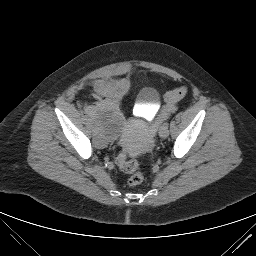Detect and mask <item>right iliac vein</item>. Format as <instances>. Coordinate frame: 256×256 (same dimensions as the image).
<instances>
[{"label":"right iliac vein","instance_id":"right-iliac-vein-1","mask_svg":"<svg viewBox=\"0 0 256 256\" xmlns=\"http://www.w3.org/2000/svg\"><path fill=\"white\" fill-rule=\"evenodd\" d=\"M88 119H89L90 121H94V120H95V116H94L93 114H90V115L88 116Z\"/></svg>","mask_w":256,"mask_h":256}]
</instances>
